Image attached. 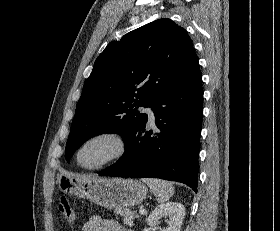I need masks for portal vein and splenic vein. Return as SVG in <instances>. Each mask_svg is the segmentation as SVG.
<instances>
[{
	"instance_id": "1",
	"label": "portal vein and splenic vein",
	"mask_w": 280,
	"mask_h": 231,
	"mask_svg": "<svg viewBox=\"0 0 280 231\" xmlns=\"http://www.w3.org/2000/svg\"><path fill=\"white\" fill-rule=\"evenodd\" d=\"M140 213H142V215H146L147 211L146 209H140Z\"/></svg>"
}]
</instances>
